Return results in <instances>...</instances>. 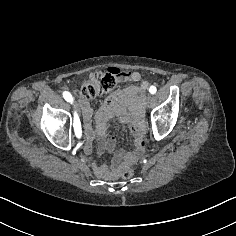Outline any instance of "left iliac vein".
I'll list each match as a JSON object with an SVG mask.
<instances>
[{
  "label": "left iliac vein",
  "mask_w": 236,
  "mask_h": 236,
  "mask_svg": "<svg viewBox=\"0 0 236 236\" xmlns=\"http://www.w3.org/2000/svg\"><path fill=\"white\" fill-rule=\"evenodd\" d=\"M155 101H156V98H155V97H152L151 100H150V103H151V104H154Z\"/></svg>",
  "instance_id": "4c4485c4"
}]
</instances>
